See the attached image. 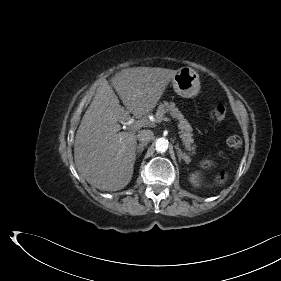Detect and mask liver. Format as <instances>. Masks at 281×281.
<instances>
[{
	"mask_svg": "<svg viewBox=\"0 0 281 281\" xmlns=\"http://www.w3.org/2000/svg\"><path fill=\"white\" fill-rule=\"evenodd\" d=\"M176 70L159 67L123 69L104 82L82 117L74 142L77 170L97 189L117 191L131 181L137 137L135 131L120 132L118 122L150 113L157 105Z\"/></svg>",
	"mask_w": 281,
	"mask_h": 281,
	"instance_id": "6515ba94",
	"label": "liver"
}]
</instances>
